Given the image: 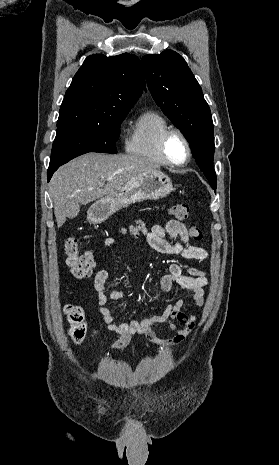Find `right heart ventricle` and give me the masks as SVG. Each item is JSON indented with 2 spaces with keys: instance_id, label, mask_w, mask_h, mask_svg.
I'll return each instance as SVG.
<instances>
[{
  "instance_id": "right-heart-ventricle-1",
  "label": "right heart ventricle",
  "mask_w": 279,
  "mask_h": 465,
  "mask_svg": "<svg viewBox=\"0 0 279 465\" xmlns=\"http://www.w3.org/2000/svg\"><path fill=\"white\" fill-rule=\"evenodd\" d=\"M169 128L170 123L158 111L147 110L141 113L131 126L125 143L126 151L158 165H167L161 155L159 142Z\"/></svg>"
}]
</instances>
